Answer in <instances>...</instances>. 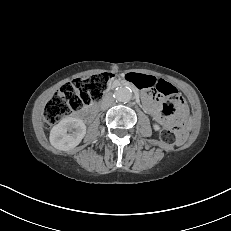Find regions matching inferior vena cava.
Listing matches in <instances>:
<instances>
[{
  "label": "inferior vena cava",
  "mask_w": 231,
  "mask_h": 231,
  "mask_svg": "<svg viewBox=\"0 0 231 231\" xmlns=\"http://www.w3.org/2000/svg\"><path fill=\"white\" fill-rule=\"evenodd\" d=\"M114 99L112 96L108 95L103 99L101 108L102 109H107L113 105Z\"/></svg>",
  "instance_id": "obj_1"
}]
</instances>
